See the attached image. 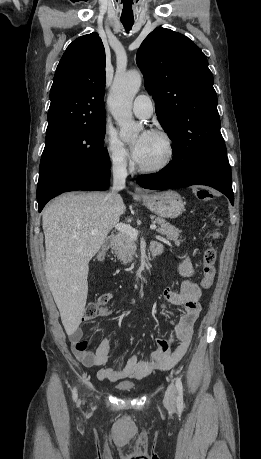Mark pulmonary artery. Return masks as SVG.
Instances as JSON below:
<instances>
[{
	"label": "pulmonary artery",
	"mask_w": 261,
	"mask_h": 459,
	"mask_svg": "<svg viewBox=\"0 0 261 459\" xmlns=\"http://www.w3.org/2000/svg\"><path fill=\"white\" fill-rule=\"evenodd\" d=\"M132 110L139 118H149L154 111L153 102L148 95L140 94L134 99Z\"/></svg>",
	"instance_id": "1"
}]
</instances>
